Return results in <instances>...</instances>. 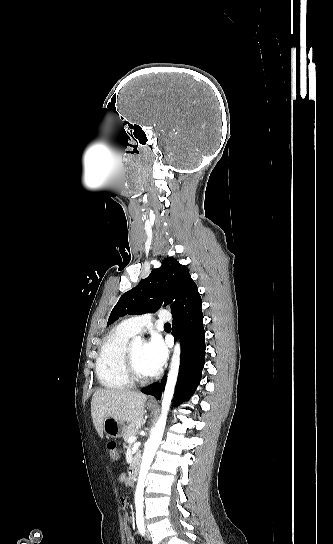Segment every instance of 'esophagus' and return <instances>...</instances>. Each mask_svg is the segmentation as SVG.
<instances>
[{"label":"esophagus","mask_w":333,"mask_h":544,"mask_svg":"<svg viewBox=\"0 0 333 544\" xmlns=\"http://www.w3.org/2000/svg\"><path fill=\"white\" fill-rule=\"evenodd\" d=\"M150 402H151V403H155V399L152 398V399L150 400Z\"/></svg>","instance_id":"34e87169"}]
</instances>
